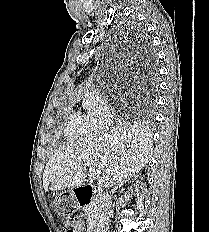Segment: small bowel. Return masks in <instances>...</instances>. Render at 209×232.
Listing matches in <instances>:
<instances>
[{
    "mask_svg": "<svg viewBox=\"0 0 209 232\" xmlns=\"http://www.w3.org/2000/svg\"><path fill=\"white\" fill-rule=\"evenodd\" d=\"M70 225L72 226V232H84V225L81 221H75Z\"/></svg>",
    "mask_w": 209,
    "mask_h": 232,
    "instance_id": "1",
    "label": "small bowel"
}]
</instances>
